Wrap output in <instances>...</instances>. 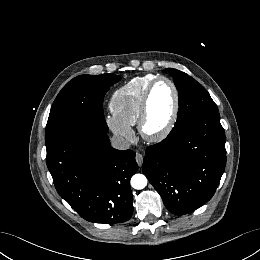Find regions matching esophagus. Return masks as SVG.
<instances>
[{
  "mask_svg": "<svg viewBox=\"0 0 260 260\" xmlns=\"http://www.w3.org/2000/svg\"><path fill=\"white\" fill-rule=\"evenodd\" d=\"M135 159L139 166L143 164V155L141 153H137Z\"/></svg>",
  "mask_w": 260,
  "mask_h": 260,
  "instance_id": "esophagus-1",
  "label": "esophagus"
}]
</instances>
